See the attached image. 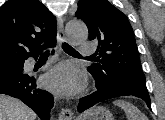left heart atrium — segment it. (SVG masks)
<instances>
[{
    "label": "left heart atrium",
    "instance_id": "39dd6f15",
    "mask_svg": "<svg viewBox=\"0 0 165 120\" xmlns=\"http://www.w3.org/2000/svg\"><path fill=\"white\" fill-rule=\"evenodd\" d=\"M44 85L59 95H74L85 84L82 72L71 63H60L53 67L43 79Z\"/></svg>",
    "mask_w": 165,
    "mask_h": 120
}]
</instances>
